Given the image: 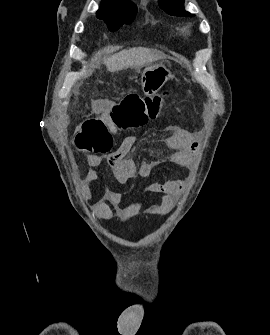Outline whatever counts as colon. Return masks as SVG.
Returning <instances> with one entry per match:
<instances>
[{
    "label": "colon",
    "mask_w": 270,
    "mask_h": 335,
    "mask_svg": "<svg viewBox=\"0 0 270 335\" xmlns=\"http://www.w3.org/2000/svg\"><path fill=\"white\" fill-rule=\"evenodd\" d=\"M171 96L169 91L162 94L163 99ZM158 97H142L130 94L121 100L109 113V116H92L83 122L75 137L79 151L95 155L108 154L112 146V137L106 123H113L117 131L136 130L149 121H155L160 115Z\"/></svg>",
    "instance_id": "colon-1"
}]
</instances>
